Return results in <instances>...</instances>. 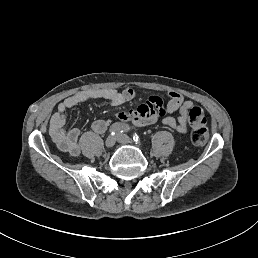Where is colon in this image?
<instances>
[{
  "label": "colon",
  "instance_id": "5ec220e1",
  "mask_svg": "<svg viewBox=\"0 0 258 258\" xmlns=\"http://www.w3.org/2000/svg\"><path fill=\"white\" fill-rule=\"evenodd\" d=\"M209 135L205 126H195L191 132V142L195 146H202L208 141Z\"/></svg>",
  "mask_w": 258,
  "mask_h": 258
}]
</instances>
